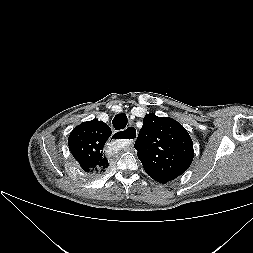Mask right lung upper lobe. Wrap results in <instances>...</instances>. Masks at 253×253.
<instances>
[{
  "instance_id": "cb5924a9",
  "label": "right lung upper lobe",
  "mask_w": 253,
  "mask_h": 253,
  "mask_svg": "<svg viewBox=\"0 0 253 253\" xmlns=\"http://www.w3.org/2000/svg\"><path fill=\"white\" fill-rule=\"evenodd\" d=\"M111 134L110 127L97 119L81 123L70 133L68 146L84 171L98 173L108 167L103 147Z\"/></svg>"
}]
</instances>
